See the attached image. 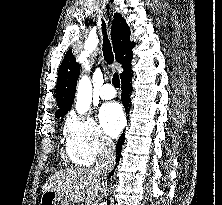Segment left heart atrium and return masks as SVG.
Masks as SVG:
<instances>
[{"label": "left heart atrium", "instance_id": "39dd6f15", "mask_svg": "<svg viewBox=\"0 0 222 205\" xmlns=\"http://www.w3.org/2000/svg\"><path fill=\"white\" fill-rule=\"evenodd\" d=\"M100 121L108 135L117 136L125 123L121 106L117 103L103 105L100 110Z\"/></svg>", "mask_w": 222, "mask_h": 205}]
</instances>
